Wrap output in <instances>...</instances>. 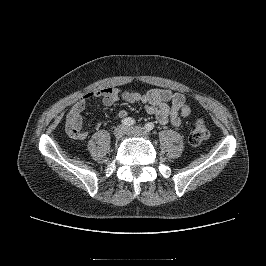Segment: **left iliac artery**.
<instances>
[{
	"label": "left iliac artery",
	"instance_id": "obj_1",
	"mask_svg": "<svg viewBox=\"0 0 266 266\" xmlns=\"http://www.w3.org/2000/svg\"><path fill=\"white\" fill-rule=\"evenodd\" d=\"M154 124L152 122H148L146 125H145V128L148 130V131H151L154 129Z\"/></svg>",
	"mask_w": 266,
	"mask_h": 266
}]
</instances>
